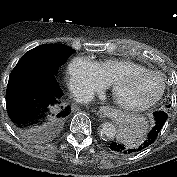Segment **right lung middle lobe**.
Instances as JSON below:
<instances>
[{
    "instance_id": "right-lung-middle-lobe-1",
    "label": "right lung middle lobe",
    "mask_w": 177,
    "mask_h": 177,
    "mask_svg": "<svg viewBox=\"0 0 177 177\" xmlns=\"http://www.w3.org/2000/svg\"><path fill=\"white\" fill-rule=\"evenodd\" d=\"M75 52L72 48L62 44H43L29 50L17 63H23L25 60H32L42 64L57 72L59 67L66 59ZM64 120L61 121L60 126ZM60 128V127H59ZM59 128L55 129L57 131Z\"/></svg>"
}]
</instances>
